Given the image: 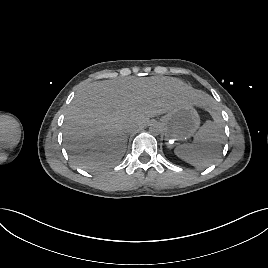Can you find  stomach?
Here are the masks:
<instances>
[{"mask_svg":"<svg viewBox=\"0 0 268 268\" xmlns=\"http://www.w3.org/2000/svg\"><path fill=\"white\" fill-rule=\"evenodd\" d=\"M167 140L185 141L191 138L200 126V118L191 104L181 105L161 118Z\"/></svg>","mask_w":268,"mask_h":268,"instance_id":"1","label":"stomach"}]
</instances>
